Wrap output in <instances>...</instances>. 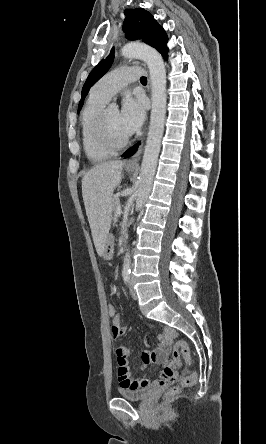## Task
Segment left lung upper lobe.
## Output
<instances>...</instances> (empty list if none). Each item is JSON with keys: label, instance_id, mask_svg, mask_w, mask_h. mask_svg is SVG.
<instances>
[{"label": "left lung upper lobe", "instance_id": "5c2ea615", "mask_svg": "<svg viewBox=\"0 0 266 444\" xmlns=\"http://www.w3.org/2000/svg\"><path fill=\"white\" fill-rule=\"evenodd\" d=\"M126 16L123 23V31L129 40H141L150 46L156 48L164 58H167L168 41L164 29L157 23L153 16L144 9H126ZM114 59V49L111 50L108 57L101 62L89 74L81 93V100L78 106V112L82 108L83 101L89 89L109 70Z\"/></svg>", "mask_w": 266, "mask_h": 444}]
</instances>
